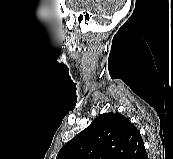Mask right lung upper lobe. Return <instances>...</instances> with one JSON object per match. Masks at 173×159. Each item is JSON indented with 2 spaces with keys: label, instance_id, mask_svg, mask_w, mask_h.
<instances>
[{
  "label": "right lung upper lobe",
  "instance_id": "obj_1",
  "mask_svg": "<svg viewBox=\"0 0 173 159\" xmlns=\"http://www.w3.org/2000/svg\"><path fill=\"white\" fill-rule=\"evenodd\" d=\"M142 137L128 118L104 113L59 151L56 159H138Z\"/></svg>",
  "mask_w": 173,
  "mask_h": 159
}]
</instances>
